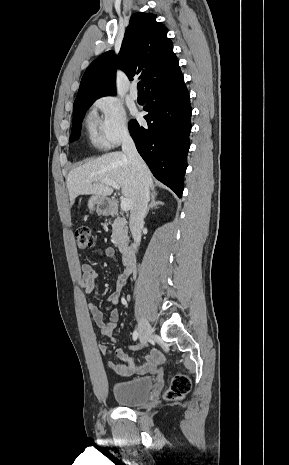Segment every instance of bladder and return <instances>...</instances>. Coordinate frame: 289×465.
<instances>
[{"instance_id": "bladder-1", "label": "bladder", "mask_w": 289, "mask_h": 465, "mask_svg": "<svg viewBox=\"0 0 289 465\" xmlns=\"http://www.w3.org/2000/svg\"><path fill=\"white\" fill-rule=\"evenodd\" d=\"M153 388L151 377L120 381L113 385L115 400L123 406H139L147 402Z\"/></svg>"}]
</instances>
